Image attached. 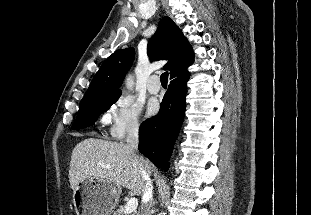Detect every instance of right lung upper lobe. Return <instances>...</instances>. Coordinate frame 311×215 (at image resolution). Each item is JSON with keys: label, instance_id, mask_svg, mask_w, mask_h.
<instances>
[{"label": "right lung upper lobe", "instance_id": "cb5924a9", "mask_svg": "<svg viewBox=\"0 0 311 215\" xmlns=\"http://www.w3.org/2000/svg\"><path fill=\"white\" fill-rule=\"evenodd\" d=\"M147 54L151 60H168L164 69L170 71L172 78L187 70L193 63V50L170 17H164L159 22L155 34L148 42ZM133 48L115 51L104 61L94 76L87 92L80 103L103 97L118 96L125 74L134 60Z\"/></svg>", "mask_w": 311, "mask_h": 215}]
</instances>
